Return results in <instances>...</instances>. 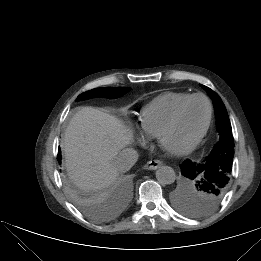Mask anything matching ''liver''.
Masks as SVG:
<instances>
[{"label": "liver", "instance_id": "liver-1", "mask_svg": "<svg viewBox=\"0 0 261 261\" xmlns=\"http://www.w3.org/2000/svg\"><path fill=\"white\" fill-rule=\"evenodd\" d=\"M132 141L122 122L93 107H82L71 118L63 138L65 167L82 190H100L119 172L114 160Z\"/></svg>", "mask_w": 261, "mask_h": 261}]
</instances>
